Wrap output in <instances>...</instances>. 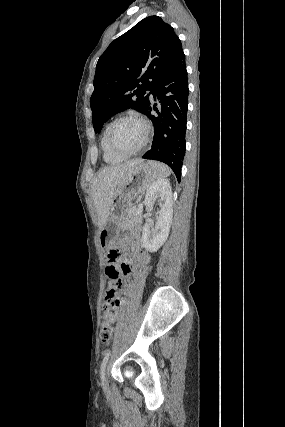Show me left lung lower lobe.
Instances as JSON below:
<instances>
[{"mask_svg":"<svg viewBox=\"0 0 285 427\" xmlns=\"http://www.w3.org/2000/svg\"><path fill=\"white\" fill-rule=\"evenodd\" d=\"M154 99L159 100L160 108L154 110L158 116L151 114L149 104L144 113L154 125V140L151 149L142 158L166 163L181 181V167L186 150V123L188 110V81L183 50L176 57L173 65L158 81L153 89Z\"/></svg>","mask_w":285,"mask_h":427,"instance_id":"1","label":"left lung lower lobe"}]
</instances>
